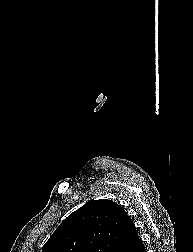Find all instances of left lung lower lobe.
Returning <instances> with one entry per match:
<instances>
[{"mask_svg":"<svg viewBox=\"0 0 193 252\" xmlns=\"http://www.w3.org/2000/svg\"><path fill=\"white\" fill-rule=\"evenodd\" d=\"M122 252H146V249L144 248L136 231Z\"/></svg>","mask_w":193,"mask_h":252,"instance_id":"left-lung-lower-lobe-1","label":"left lung lower lobe"}]
</instances>
